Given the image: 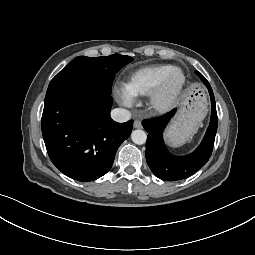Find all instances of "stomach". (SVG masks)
<instances>
[{"mask_svg": "<svg viewBox=\"0 0 255 255\" xmlns=\"http://www.w3.org/2000/svg\"><path fill=\"white\" fill-rule=\"evenodd\" d=\"M207 112V99L202 88L194 84L182 96L177 117L168 127L165 138L171 147H180L192 139Z\"/></svg>", "mask_w": 255, "mask_h": 255, "instance_id": "obj_1", "label": "stomach"}]
</instances>
